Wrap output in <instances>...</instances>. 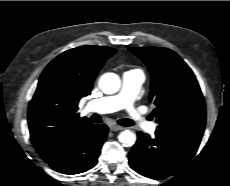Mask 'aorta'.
<instances>
[{
    "instance_id": "762f6f07",
    "label": "aorta",
    "mask_w": 230,
    "mask_h": 186,
    "mask_svg": "<svg viewBox=\"0 0 230 186\" xmlns=\"http://www.w3.org/2000/svg\"><path fill=\"white\" fill-rule=\"evenodd\" d=\"M121 80L115 73H105L99 79V88L105 94H114L119 91ZM118 139L125 147H131L136 142V134L130 130L122 131Z\"/></svg>"
}]
</instances>
